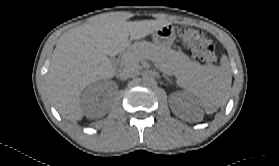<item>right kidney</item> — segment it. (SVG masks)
I'll list each match as a JSON object with an SVG mask.
<instances>
[{"mask_svg":"<svg viewBox=\"0 0 279 166\" xmlns=\"http://www.w3.org/2000/svg\"><path fill=\"white\" fill-rule=\"evenodd\" d=\"M104 91H106L109 96H112L117 92V87L113 89L109 84L106 83L93 84L85 90L83 95V103L90 106H95L98 102V96Z\"/></svg>","mask_w":279,"mask_h":166,"instance_id":"1","label":"right kidney"}]
</instances>
